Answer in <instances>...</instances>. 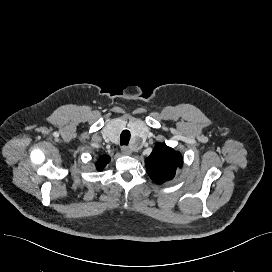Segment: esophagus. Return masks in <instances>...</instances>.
I'll return each mask as SVG.
<instances>
[{
    "mask_svg": "<svg viewBox=\"0 0 272 272\" xmlns=\"http://www.w3.org/2000/svg\"><path fill=\"white\" fill-rule=\"evenodd\" d=\"M121 151L124 155H130L132 153L131 149L128 146H123Z\"/></svg>",
    "mask_w": 272,
    "mask_h": 272,
    "instance_id": "34e87169",
    "label": "esophagus"
}]
</instances>
